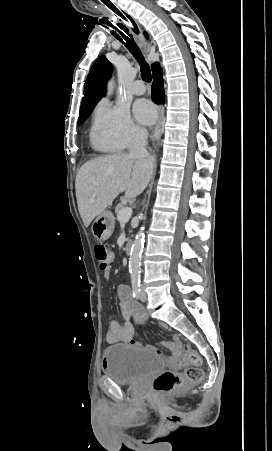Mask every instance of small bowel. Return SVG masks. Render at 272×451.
I'll list each match as a JSON object with an SVG mask.
<instances>
[{
    "instance_id": "small-bowel-1",
    "label": "small bowel",
    "mask_w": 272,
    "mask_h": 451,
    "mask_svg": "<svg viewBox=\"0 0 272 451\" xmlns=\"http://www.w3.org/2000/svg\"><path fill=\"white\" fill-rule=\"evenodd\" d=\"M110 266L104 270V276L106 279L110 276ZM119 304L118 309L122 318V323L117 320H113L110 323L109 329L106 332V342L109 344L127 343L133 346H141V343L136 337L135 327L131 322L133 317L141 318L143 312L141 307L134 303L130 297V292L127 286L121 285L118 288ZM181 345V340L178 335H173L171 341H163L162 346L166 349L178 348ZM152 351L160 353V351L154 346H148Z\"/></svg>"
}]
</instances>
